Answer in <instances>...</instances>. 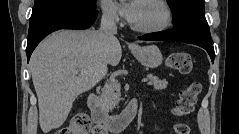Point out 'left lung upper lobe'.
<instances>
[{
	"instance_id": "obj_1",
	"label": "left lung upper lobe",
	"mask_w": 239,
	"mask_h": 134,
	"mask_svg": "<svg viewBox=\"0 0 239 134\" xmlns=\"http://www.w3.org/2000/svg\"><path fill=\"white\" fill-rule=\"evenodd\" d=\"M173 14L174 27L192 18L205 19L204 0H167Z\"/></svg>"
}]
</instances>
